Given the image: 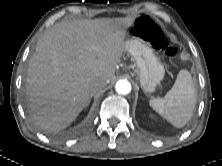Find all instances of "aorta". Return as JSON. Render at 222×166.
Masks as SVG:
<instances>
[{"label":"aorta","mask_w":222,"mask_h":166,"mask_svg":"<svg viewBox=\"0 0 222 166\" xmlns=\"http://www.w3.org/2000/svg\"><path fill=\"white\" fill-rule=\"evenodd\" d=\"M115 89L119 94L126 95L131 91V84L127 80H119L116 83Z\"/></svg>","instance_id":"aorta-1"}]
</instances>
